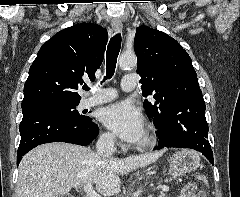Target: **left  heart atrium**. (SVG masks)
I'll return each instance as SVG.
<instances>
[{"mask_svg": "<svg viewBox=\"0 0 240 197\" xmlns=\"http://www.w3.org/2000/svg\"><path fill=\"white\" fill-rule=\"evenodd\" d=\"M102 123L127 142L139 141L145 131V121L140 110L127 101L106 107L101 113Z\"/></svg>", "mask_w": 240, "mask_h": 197, "instance_id": "1", "label": "left heart atrium"}]
</instances>
